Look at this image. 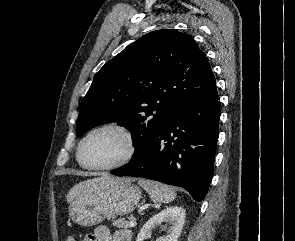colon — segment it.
<instances>
[{
    "label": "colon",
    "mask_w": 295,
    "mask_h": 241,
    "mask_svg": "<svg viewBox=\"0 0 295 241\" xmlns=\"http://www.w3.org/2000/svg\"><path fill=\"white\" fill-rule=\"evenodd\" d=\"M66 241H74V240L70 238V239H67Z\"/></svg>",
    "instance_id": "obj_1"
}]
</instances>
